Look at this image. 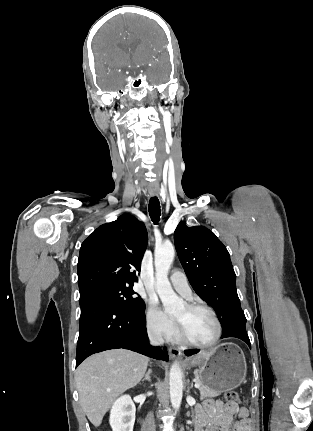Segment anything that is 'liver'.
<instances>
[{"label": "liver", "mask_w": 313, "mask_h": 431, "mask_svg": "<svg viewBox=\"0 0 313 431\" xmlns=\"http://www.w3.org/2000/svg\"><path fill=\"white\" fill-rule=\"evenodd\" d=\"M149 359L124 349L95 354L76 370L80 405L94 426H99L114 400L143 378Z\"/></svg>", "instance_id": "liver-1"}]
</instances>
